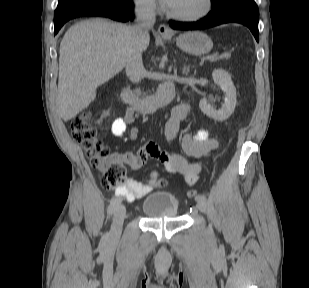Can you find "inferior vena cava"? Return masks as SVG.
<instances>
[{
	"instance_id": "1",
	"label": "inferior vena cava",
	"mask_w": 309,
	"mask_h": 288,
	"mask_svg": "<svg viewBox=\"0 0 309 288\" xmlns=\"http://www.w3.org/2000/svg\"><path fill=\"white\" fill-rule=\"evenodd\" d=\"M136 24L130 28L133 45L125 59L126 74L129 79L137 83L143 78L142 39L148 35V30L155 23L153 0H136Z\"/></svg>"
}]
</instances>
